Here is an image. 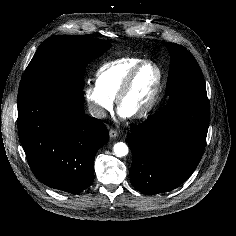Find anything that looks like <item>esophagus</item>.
I'll return each mask as SVG.
<instances>
[{"instance_id": "obj_1", "label": "esophagus", "mask_w": 236, "mask_h": 236, "mask_svg": "<svg viewBox=\"0 0 236 236\" xmlns=\"http://www.w3.org/2000/svg\"><path fill=\"white\" fill-rule=\"evenodd\" d=\"M109 136H110V138H116L118 136V132L114 129H111L109 131Z\"/></svg>"}]
</instances>
